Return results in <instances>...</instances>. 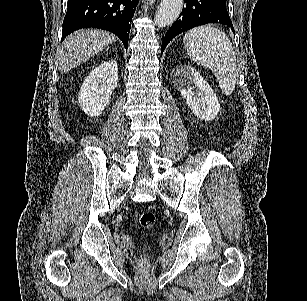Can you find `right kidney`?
<instances>
[{"label":"right kidney","instance_id":"right-kidney-1","mask_svg":"<svg viewBox=\"0 0 307 301\" xmlns=\"http://www.w3.org/2000/svg\"><path fill=\"white\" fill-rule=\"evenodd\" d=\"M118 86V66L116 60H105L93 68L82 82L78 102L88 116H99L105 110L111 94Z\"/></svg>","mask_w":307,"mask_h":301}]
</instances>
